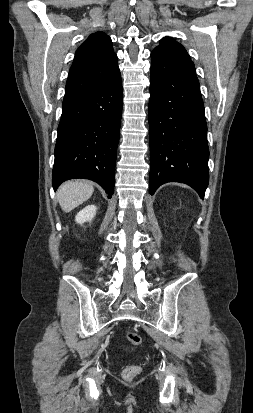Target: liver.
I'll list each match as a JSON object with an SVG mask.
<instances>
[{
  "mask_svg": "<svg viewBox=\"0 0 253 413\" xmlns=\"http://www.w3.org/2000/svg\"><path fill=\"white\" fill-rule=\"evenodd\" d=\"M94 188L90 182L75 180L62 184L57 191V198L62 210L66 213L88 200Z\"/></svg>",
  "mask_w": 253,
  "mask_h": 413,
  "instance_id": "liver-1",
  "label": "liver"
}]
</instances>
